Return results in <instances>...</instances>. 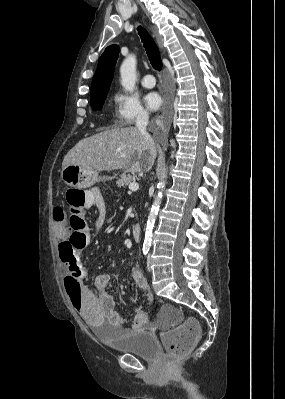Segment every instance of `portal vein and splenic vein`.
<instances>
[{
	"mask_svg": "<svg viewBox=\"0 0 285 399\" xmlns=\"http://www.w3.org/2000/svg\"><path fill=\"white\" fill-rule=\"evenodd\" d=\"M139 189V184L137 182H132L129 184V190L134 192Z\"/></svg>",
	"mask_w": 285,
	"mask_h": 399,
	"instance_id": "1",
	"label": "portal vein and splenic vein"
}]
</instances>
